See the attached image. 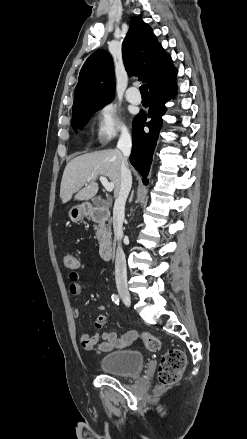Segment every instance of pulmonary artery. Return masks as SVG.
I'll use <instances>...</instances> for the list:
<instances>
[{"label":"pulmonary artery","mask_w":247,"mask_h":439,"mask_svg":"<svg viewBox=\"0 0 247 439\" xmlns=\"http://www.w3.org/2000/svg\"><path fill=\"white\" fill-rule=\"evenodd\" d=\"M126 99L132 103V104H140L142 99L141 96L137 93V90L135 87H130L127 91H126Z\"/></svg>","instance_id":"1"}]
</instances>
